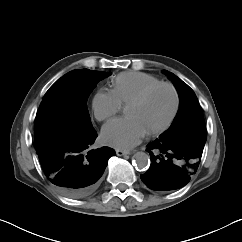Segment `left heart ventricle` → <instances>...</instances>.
Listing matches in <instances>:
<instances>
[{
    "label": "left heart ventricle",
    "instance_id": "1",
    "mask_svg": "<svg viewBox=\"0 0 242 242\" xmlns=\"http://www.w3.org/2000/svg\"><path fill=\"white\" fill-rule=\"evenodd\" d=\"M175 98L169 87L155 89L143 102L129 105L126 112L132 115L146 131L153 130L164 124L170 117Z\"/></svg>",
    "mask_w": 242,
    "mask_h": 242
}]
</instances>
